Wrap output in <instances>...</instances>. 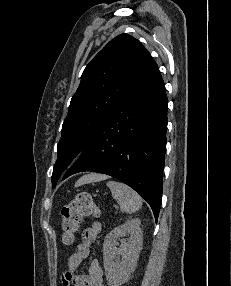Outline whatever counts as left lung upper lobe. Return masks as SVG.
Here are the masks:
<instances>
[{"instance_id": "5c2ea615", "label": "left lung upper lobe", "mask_w": 231, "mask_h": 286, "mask_svg": "<svg viewBox=\"0 0 231 286\" xmlns=\"http://www.w3.org/2000/svg\"><path fill=\"white\" fill-rule=\"evenodd\" d=\"M156 67L144 46L128 34L112 39L91 60L62 126L52 187L110 111Z\"/></svg>"}]
</instances>
